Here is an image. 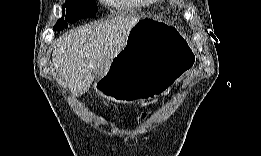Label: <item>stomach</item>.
<instances>
[{
    "label": "stomach",
    "mask_w": 261,
    "mask_h": 156,
    "mask_svg": "<svg viewBox=\"0 0 261 156\" xmlns=\"http://www.w3.org/2000/svg\"><path fill=\"white\" fill-rule=\"evenodd\" d=\"M160 37L169 41L172 55H157L138 68L126 67L124 60L134 57ZM194 61L195 56L178 27L163 20L141 19L113 59L111 69L95 80L94 89L114 102H145L164 94Z\"/></svg>",
    "instance_id": "1"
}]
</instances>
